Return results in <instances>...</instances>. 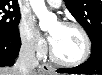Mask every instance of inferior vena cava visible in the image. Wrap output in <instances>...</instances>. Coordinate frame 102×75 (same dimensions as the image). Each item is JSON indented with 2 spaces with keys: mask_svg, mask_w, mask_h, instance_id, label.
Masks as SVG:
<instances>
[{
  "mask_svg": "<svg viewBox=\"0 0 102 75\" xmlns=\"http://www.w3.org/2000/svg\"><path fill=\"white\" fill-rule=\"evenodd\" d=\"M39 65L35 57V45L33 41H25L20 49L15 67L21 75H32Z\"/></svg>",
  "mask_w": 102,
  "mask_h": 75,
  "instance_id": "obj_1",
  "label": "inferior vena cava"
}]
</instances>
